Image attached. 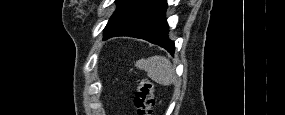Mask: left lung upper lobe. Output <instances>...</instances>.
Segmentation results:
<instances>
[{
  "label": "left lung upper lobe",
  "mask_w": 285,
  "mask_h": 115,
  "mask_svg": "<svg viewBox=\"0 0 285 115\" xmlns=\"http://www.w3.org/2000/svg\"><path fill=\"white\" fill-rule=\"evenodd\" d=\"M117 1V9H116V11L114 12V14H113V16L123 7V6H125L130 0H116ZM112 16V17H113ZM111 17V18H112ZM110 18V19H111ZM110 21V20H109Z\"/></svg>",
  "instance_id": "left-lung-upper-lobe-1"
}]
</instances>
